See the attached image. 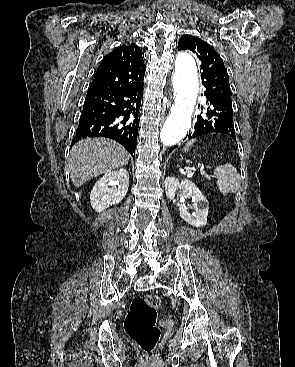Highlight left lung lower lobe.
I'll return each mask as SVG.
<instances>
[{
  "label": "left lung lower lobe",
  "mask_w": 295,
  "mask_h": 367,
  "mask_svg": "<svg viewBox=\"0 0 295 367\" xmlns=\"http://www.w3.org/2000/svg\"><path fill=\"white\" fill-rule=\"evenodd\" d=\"M207 101V112L205 115L197 116L194 131L188 137L195 138L209 133H222L232 137L235 141V129L233 126L232 101L225 97L213 94H205ZM177 146L171 147L172 152Z\"/></svg>",
  "instance_id": "1"
}]
</instances>
